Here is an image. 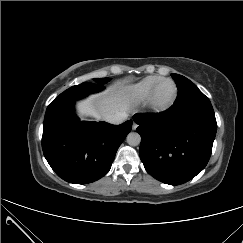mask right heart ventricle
Segmentation results:
<instances>
[{
  "label": "right heart ventricle",
  "instance_id": "obj_1",
  "mask_svg": "<svg viewBox=\"0 0 243 243\" xmlns=\"http://www.w3.org/2000/svg\"><path fill=\"white\" fill-rule=\"evenodd\" d=\"M163 79L164 77L159 75H150L128 86L126 89V97L128 101L133 105H139L146 102L153 88Z\"/></svg>",
  "mask_w": 243,
  "mask_h": 243
}]
</instances>
